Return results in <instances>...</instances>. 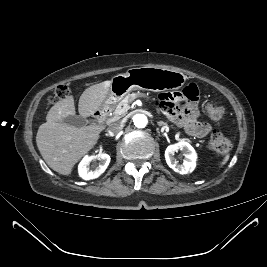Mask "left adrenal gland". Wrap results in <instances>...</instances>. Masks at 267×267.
<instances>
[{
	"instance_id": "obj_1",
	"label": "left adrenal gland",
	"mask_w": 267,
	"mask_h": 267,
	"mask_svg": "<svg viewBox=\"0 0 267 267\" xmlns=\"http://www.w3.org/2000/svg\"><path fill=\"white\" fill-rule=\"evenodd\" d=\"M157 125L158 126H163V125H167L165 122H163V121H159V122H157Z\"/></svg>"
}]
</instances>
